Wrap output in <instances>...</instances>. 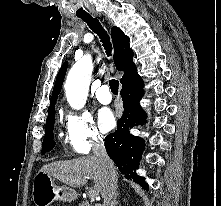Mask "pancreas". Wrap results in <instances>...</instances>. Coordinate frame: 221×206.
<instances>
[{"label": "pancreas", "instance_id": "obj_1", "mask_svg": "<svg viewBox=\"0 0 221 206\" xmlns=\"http://www.w3.org/2000/svg\"><path fill=\"white\" fill-rule=\"evenodd\" d=\"M79 206H90V204L86 201H83L82 203L79 204Z\"/></svg>", "mask_w": 221, "mask_h": 206}]
</instances>
